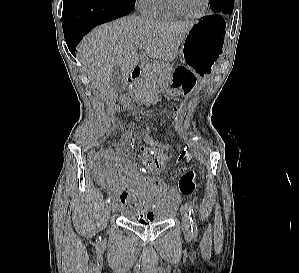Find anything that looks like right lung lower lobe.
I'll return each instance as SVG.
<instances>
[{
  "label": "right lung lower lobe",
  "mask_w": 299,
  "mask_h": 273,
  "mask_svg": "<svg viewBox=\"0 0 299 273\" xmlns=\"http://www.w3.org/2000/svg\"><path fill=\"white\" fill-rule=\"evenodd\" d=\"M135 0H63L62 26L67 46H76L95 26L127 15Z\"/></svg>",
  "instance_id": "right-lung-lower-lobe-1"
}]
</instances>
